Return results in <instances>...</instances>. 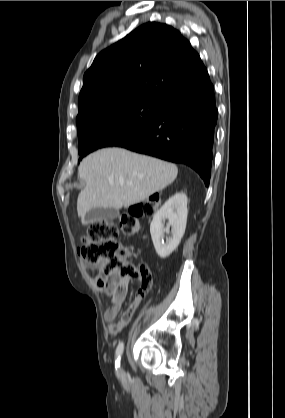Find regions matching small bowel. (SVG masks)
<instances>
[{
  "mask_svg": "<svg viewBox=\"0 0 285 418\" xmlns=\"http://www.w3.org/2000/svg\"><path fill=\"white\" fill-rule=\"evenodd\" d=\"M82 268L86 273L87 280L89 281L90 285L93 287H97L95 283L96 277L99 275L101 271V265H89L86 263H82ZM97 272V276H91L88 274V271ZM130 278H123L119 274H115L110 283L102 290L103 294L107 297L110 303V307L104 313L105 321L107 322L108 331L111 334L120 333L129 323L131 320L134 312L136 311L139 301L136 300V296L134 301L129 305L127 310L123 313L121 319L114 323L113 320L116 316L121 312L123 301L127 294L128 285L130 282ZM138 281L140 288L137 290L136 295L141 289L149 290L152 285V274L150 268L147 264L141 263L140 265V272L138 276Z\"/></svg>",
  "mask_w": 285,
  "mask_h": 418,
  "instance_id": "small-bowel-1",
  "label": "small bowel"
}]
</instances>
